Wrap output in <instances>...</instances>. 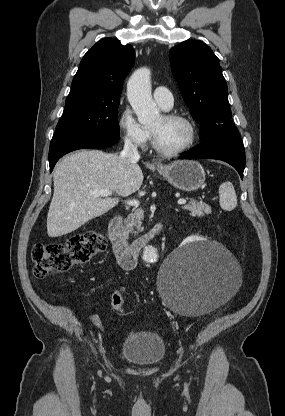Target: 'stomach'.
Returning a JSON list of instances; mask_svg holds the SVG:
<instances>
[{
  "instance_id": "obj_1",
  "label": "stomach",
  "mask_w": 285,
  "mask_h": 416,
  "mask_svg": "<svg viewBox=\"0 0 285 416\" xmlns=\"http://www.w3.org/2000/svg\"><path fill=\"white\" fill-rule=\"evenodd\" d=\"M156 170L169 184L182 192H195L205 182V172L201 164L194 160H176L168 166L158 164Z\"/></svg>"
}]
</instances>
